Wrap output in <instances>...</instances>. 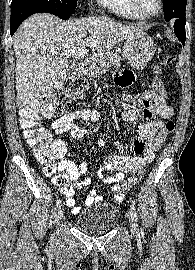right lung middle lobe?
<instances>
[{"mask_svg": "<svg viewBox=\"0 0 195 270\" xmlns=\"http://www.w3.org/2000/svg\"><path fill=\"white\" fill-rule=\"evenodd\" d=\"M17 1V0H12ZM43 4L48 12L58 16L60 19H68L77 6V0H25Z\"/></svg>", "mask_w": 195, "mask_h": 270, "instance_id": "obj_1", "label": "right lung middle lobe"}]
</instances>
